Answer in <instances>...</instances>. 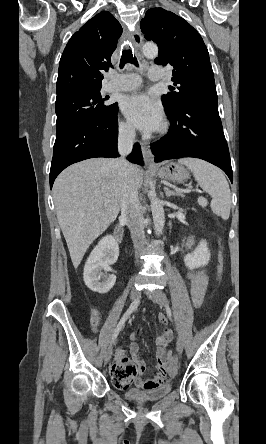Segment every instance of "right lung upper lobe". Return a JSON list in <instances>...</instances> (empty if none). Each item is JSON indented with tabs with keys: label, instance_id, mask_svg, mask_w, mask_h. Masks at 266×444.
Returning a JSON list of instances; mask_svg holds the SVG:
<instances>
[{
	"label": "right lung upper lobe",
	"instance_id": "1",
	"mask_svg": "<svg viewBox=\"0 0 266 444\" xmlns=\"http://www.w3.org/2000/svg\"><path fill=\"white\" fill-rule=\"evenodd\" d=\"M122 34L115 17L102 11L86 22L68 41L59 63L56 94L101 89L103 72Z\"/></svg>",
	"mask_w": 266,
	"mask_h": 444
}]
</instances>
